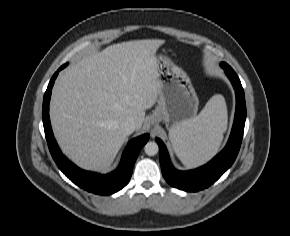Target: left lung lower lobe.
I'll return each instance as SVG.
<instances>
[{
	"label": "left lung lower lobe",
	"mask_w": 290,
	"mask_h": 236,
	"mask_svg": "<svg viewBox=\"0 0 290 236\" xmlns=\"http://www.w3.org/2000/svg\"><path fill=\"white\" fill-rule=\"evenodd\" d=\"M230 79L236 94V112L232 131L225 148L206 165L190 171L176 170L169 159L164 143L156 138L159 145V159L165 180L173 187L184 191H199L209 187L230 168L239 152L246 120L245 95L241 82L230 66H222Z\"/></svg>",
	"instance_id": "1"
}]
</instances>
